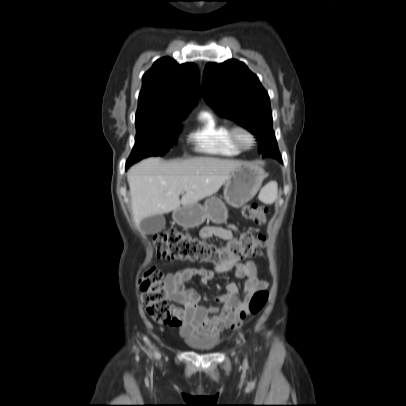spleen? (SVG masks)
<instances>
[{
	"mask_svg": "<svg viewBox=\"0 0 406 406\" xmlns=\"http://www.w3.org/2000/svg\"><path fill=\"white\" fill-rule=\"evenodd\" d=\"M260 196L266 203H273L277 198V183L272 181L266 184L261 192Z\"/></svg>",
	"mask_w": 406,
	"mask_h": 406,
	"instance_id": "1",
	"label": "spleen"
}]
</instances>
